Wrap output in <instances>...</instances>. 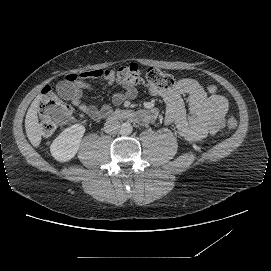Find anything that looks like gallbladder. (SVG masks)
Wrapping results in <instances>:
<instances>
[{
	"mask_svg": "<svg viewBox=\"0 0 271 271\" xmlns=\"http://www.w3.org/2000/svg\"><path fill=\"white\" fill-rule=\"evenodd\" d=\"M57 92L62 97H67L72 92V87L68 81H60L56 86Z\"/></svg>",
	"mask_w": 271,
	"mask_h": 271,
	"instance_id": "1",
	"label": "gallbladder"
}]
</instances>
